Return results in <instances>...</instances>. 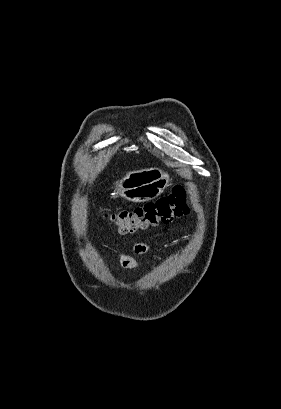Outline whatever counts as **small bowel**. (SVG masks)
Returning a JSON list of instances; mask_svg holds the SVG:
<instances>
[{"instance_id":"1","label":"small bowel","mask_w":281,"mask_h":409,"mask_svg":"<svg viewBox=\"0 0 281 409\" xmlns=\"http://www.w3.org/2000/svg\"><path fill=\"white\" fill-rule=\"evenodd\" d=\"M147 246L143 243H138L133 246V251L137 254H142L146 252ZM120 264L125 269H136L139 263L132 256L122 253L119 256Z\"/></svg>"}]
</instances>
